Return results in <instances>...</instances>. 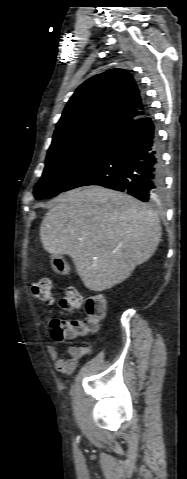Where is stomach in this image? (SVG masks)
<instances>
[{"mask_svg":"<svg viewBox=\"0 0 187 479\" xmlns=\"http://www.w3.org/2000/svg\"><path fill=\"white\" fill-rule=\"evenodd\" d=\"M51 265L53 270L57 274H67L70 270L68 263L66 262L65 258L61 255L59 256H52L51 257Z\"/></svg>","mask_w":187,"mask_h":479,"instance_id":"1","label":"stomach"}]
</instances>
